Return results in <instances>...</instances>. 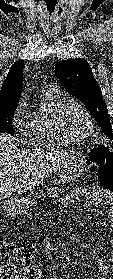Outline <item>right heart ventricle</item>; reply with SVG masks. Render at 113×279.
<instances>
[{
	"label": "right heart ventricle",
	"mask_w": 113,
	"mask_h": 279,
	"mask_svg": "<svg viewBox=\"0 0 113 279\" xmlns=\"http://www.w3.org/2000/svg\"><path fill=\"white\" fill-rule=\"evenodd\" d=\"M61 101L60 93L43 91L40 107L30 115L25 124L26 144L38 147L67 145L56 138L52 128V115Z\"/></svg>",
	"instance_id": "1"
}]
</instances>
